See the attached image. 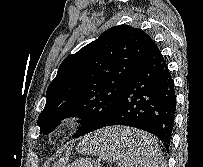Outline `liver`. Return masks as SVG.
I'll return each mask as SVG.
<instances>
[{"label": "liver", "mask_w": 203, "mask_h": 167, "mask_svg": "<svg viewBox=\"0 0 203 167\" xmlns=\"http://www.w3.org/2000/svg\"><path fill=\"white\" fill-rule=\"evenodd\" d=\"M107 134L102 135L103 137H112L117 140L125 141L128 145V149L131 151H135L141 144H143L144 139L148 138L149 136L136 129L130 128H108ZM66 161H60L56 163L53 167H65Z\"/></svg>", "instance_id": "liver-1"}]
</instances>
